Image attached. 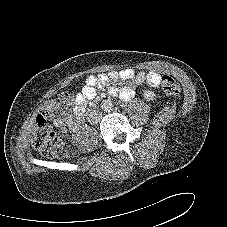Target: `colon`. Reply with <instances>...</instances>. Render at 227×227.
Here are the masks:
<instances>
[{
	"label": "colon",
	"mask_w": 227,
	"mask_h": 227,
	"mask_svg": "<svg viewBox=\"0 0 227 227\" xmlns=\"http://www.w3.org/2000/svg\"><path fill=\"white\" fill-rule=\"evenodd\" d=\"M161 87L165 94L176 95L180 86L171 76L161 78ZM73 99L68 93H61L56 100L44 104L42 111L35 119V130L32 138L33 148L47 157H71L77 153L72 137L66 129L53 131L47 124L50 118L58 117L63 113V106L70 105Z\"/></svg>",
	"instance_id": "1"
}]
</instances>
